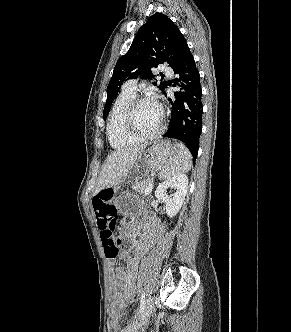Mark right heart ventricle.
Listing matches in <instances>:
<instances>
[{
    "label": "right heart ventricle",
    "mask_w": 291,
    "mask_h": 332,
    "mask_svg": "<svg viewBox=\"0 0 291 332\" xmlns=\"http://www.w3.org/2000/svg\"><path fill=\"white\" fill-rule=\"evenodd\" d=\"M135 97V93L122 90L114 101L107 123V136L109 143L113 148L121 149L135 145L139 142V140L128 135L124 127L126 110Z\"/></svg>",
    "instance_id": "right-heart-ventricle-1"
}]
</instances>
